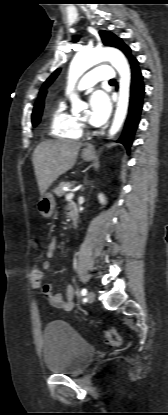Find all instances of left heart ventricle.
I'll return each instance as SVG.
<instances>
[{
  "mask_svg": "<svg viewBox=\"0 0 168 415\" xmlns=\"http://www.w3.org/2000/svg\"><path fill=\"white\" fill-rule=\"evenodd\" d=\"M89 117V113L86 111L83 115H81L80 119L87 120Z\"/></svg>",
  "mask_w": 168,
  "mask_h": 415,
  "instance_id": "1",
  "label": "left heart ventricle"
}]
</instances>
